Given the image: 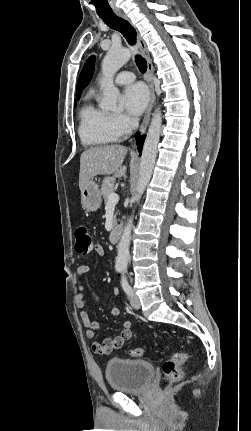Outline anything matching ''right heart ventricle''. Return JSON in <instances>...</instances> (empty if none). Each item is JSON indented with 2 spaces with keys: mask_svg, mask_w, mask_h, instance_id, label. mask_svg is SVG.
<instances>
[{
  "mask_svg": "<svg viewBox=\"0 0 251 431\" xmlns=\"http://www.w3.org/2000/svg\"><path fill=\"white\" fill-rule=\"evenodd\" d=\"M79 119V136L84 144L106 145L118 139L110 127V114L93 103L91 94L80 109Z\"/></svg>",
  "mask_w": 251,
  "mask_h": 431,
  "instance_id": "1",
  "label": "right heart ventricle"
}]
</instances>
